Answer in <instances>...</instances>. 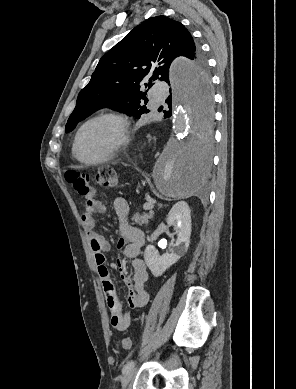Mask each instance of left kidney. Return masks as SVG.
<instances>
[{
	"label": "left kidney",
	"mask_w": 296,
	"mask_h": 389,
	"mask_svg": "<svg viewBox=\"0 0 296 389\" xmlns=\"http://www.w3.org/2000/svg\"><path fill=\"white\" fill-rule=\"evenodd\" d=\"M166 222L174 227L177 234L170 253L160 255L152 245L147 246L144 252L146 265L155 277L161 276L188 250L191 236V211L188 204L184 201L176 203L169 211Z\"/></svg>",
	"instance_id": "left-kidney-1"
}]
</instances>
